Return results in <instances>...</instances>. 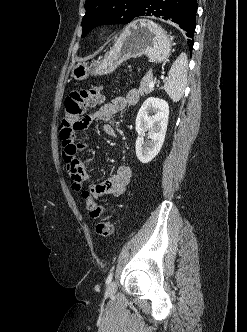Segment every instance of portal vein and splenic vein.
<instances>
[{"instance_id":"18ae733b","label":"portal vein and splenic vein","mask_w":247,"mask_h":332,"mask_svg":"<svg viewBox=\"0 0 247 332\" xmlns=\"http://www.w3.org/2000/svg\"><path fill=\"white\" fill-rule=\"evenodd\" d=\"M154 85H155V81L154 80L150 81V83L148 85L149 89H153Z\"/></svg>"}]
</instances>
